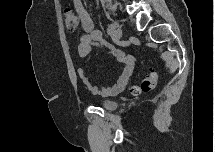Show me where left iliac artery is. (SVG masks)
I'll use <instances>...</instances> for the list:
<instances>
[{"label": "left iliac artery", "mask_w": 215, "mask_h": 152, "mask_svg": "<svg viewBox=\"0 0 215 152\" xmlns=\"http://www.w3.org/2000/svg\"><path fill=\"white\" fill-rule=\"evenodd\" d=\"M115 30V25L114 24H109L107 28V33L108 35H113Z\"/></svg>", "instance_id": "1"}]
</instances>
